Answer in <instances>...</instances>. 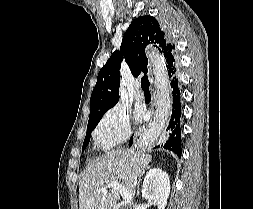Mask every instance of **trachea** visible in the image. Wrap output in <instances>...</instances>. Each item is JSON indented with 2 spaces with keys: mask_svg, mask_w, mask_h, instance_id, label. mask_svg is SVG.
Wrapping results in <instances>:
<instances>
[{
  "mask_svg": "<svg viewBox=\"0 0 253 209\" xmlns=\"http://www.w3.org/2000/svg\"><path fill=\"white\" fill-rule=\"evenodd\" d=\"M149 86H150V83H149V80H148V76H143L141 78V87L143 90H149Z\"/></svg>",
  "mask_w": 253,
  "mask_h": 209,
  "instance_id": "1",
  "label": "trachea"
}]
</instances>
